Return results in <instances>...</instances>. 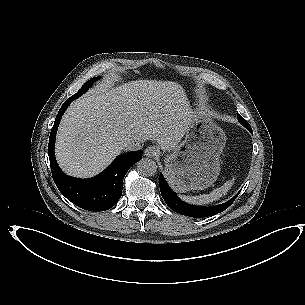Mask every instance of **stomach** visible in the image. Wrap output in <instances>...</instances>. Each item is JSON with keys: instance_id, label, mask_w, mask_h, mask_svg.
<instances>
[{"instance_id": "obj_1", "label": "stomach", "mask_w": 305, "mask_h": 305, "mask_svg": "<svg viewBox=\"0 0 305 305\" xmlns=\"http://www.w3.org/2000/svg\"><path fill=\"white\" fill-rule=\"evenodd\" d=\"M226 143L224 131L198 113L185 131L183 141L165 158V177L177 193L204 190L220 173V155Z\"/></svg>"}]
</instances>
